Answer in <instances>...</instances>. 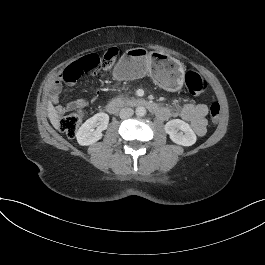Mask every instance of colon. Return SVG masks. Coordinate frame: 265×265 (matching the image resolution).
<instances>
[{
  "mask_svg": "<svg viewBox=\"0 0 265 265\" xmlns=\"http://www.w3.org/2000/svg\"><path fill=\"white\" fill-rule=\"evenodd\" d=\"M117 50L115 48L109 49L103 56L97 54H89L78 61L69 65L61 74V78L65 82L76 81L83 73L92 70H110L116 60ZM185 85L193 96H200L206 92L208 88L207 80L195 70H188L185 73ZM220 115V105L217 102L210 106V117L212 125H216ZM83 118L81 111L71 113L62 117L59 120V128L67 136L75 135Z\"/></svg>",
  "mask_w": 265,
  "mask_h": 265,
  "instance_id": "1",
  "label": "colon"
}]
</instances>
